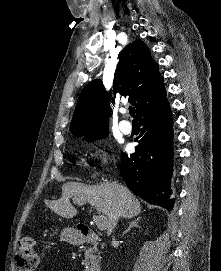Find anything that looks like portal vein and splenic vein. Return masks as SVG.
Wrapping results in <instances>:
<instances>
[{
	"mask_svg": "<svg viewBox=\"0 0 221 271\" xmlns=\"http://www.w3.org/2000/svg\"><path fill=\"white\" fill-rule=\"evenodd\" d=\"M94 221H96L97 227L103 231L108 225V217L106 215H95Z\"/></svg>",
	"mask_w": 221,
	"mask_h": 271,
	"instance_id": "obj_1",
	"label": "portal vein and splenic vein"
}]
</instances>
